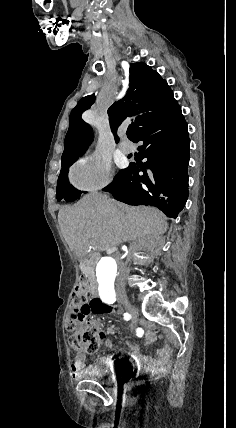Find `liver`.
Masks as SVG:
<instances>
[{
  "label": "liver",
  "mask_w": 236,
  "mask_h": 428,
  "mask_svg": "<svg viewBox=\"0 0 236 428\" xmlns=\"http://www.w3.org/2000/svg\"><path fill=\"white\" fill-rule=\"evenodd\" d=\"M61 232L77 258L88 256L90 248L111 252L112 248L144 236L165 234L168 224L155 208H133L103 194H86L72 208L58 214Z\"/></svg>",
  "instance_id": "1"
}]
</instances>
